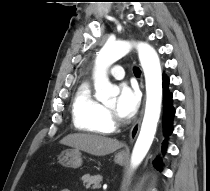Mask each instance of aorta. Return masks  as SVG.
<instances>
[{"mask_svg": "<svg viewBox=\"0 0 210 191\" xmlns=\"http://www.w3.org/2000/svg\"><path fill=\"white\" fill-rule=\"evenodd\" d=\"M135 46L144 72L146 83V106L141 130L131 155V166L136 168L145 158L153 142L162 104V70L157 52L144 42H107L96 57L94 67L95 97L108 103L119 94V88L110 83L107 71L117 60L124 57Z\"/></svg>", "mask_w": 210, "mask_h": 191, "instance_id": "aorta-1", "label": "aorta"}]
</instances>
